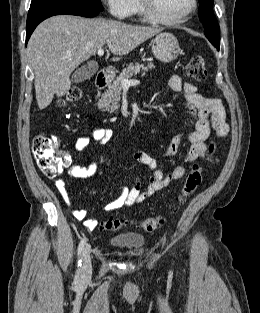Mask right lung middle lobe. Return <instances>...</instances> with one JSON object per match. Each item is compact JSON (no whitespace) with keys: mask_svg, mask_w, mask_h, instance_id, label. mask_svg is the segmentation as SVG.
Returning a JSON list of instances; mask_svg holds the SVG:
<instances>
[{"mask_svg":"<svg viewBox=\"0 0 260 313\" xmlns=\"http://www.w3.org/2000/svg\"><path fill=\"white\" fill-rule=\"evenodd\" d=\"M41 4H62V5H74L79 7L90 8L93 10H103V6L100 0H32L31 6Z\"/></svg>","mask_w":260,"mask_h":313,"instance_id":"1","label":"right lung middle lobe"}]
</instances>
